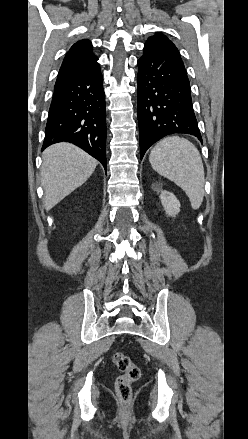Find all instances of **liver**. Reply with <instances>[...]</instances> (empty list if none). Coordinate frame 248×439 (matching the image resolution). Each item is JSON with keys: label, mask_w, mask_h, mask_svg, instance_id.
<instances>
[{"label": "liver", "mask_w": 248, "mask_h": 439, "mask_svg": "<svg viewBox=\"0 0 248 439\" xmlns=\"http://www.w3.org/2000/svg\"><path fill=\"white\" fill-rule=\"evenodd\" d=\"M42 159L41 184L46 211L84 184L97 166L96 159L70 143L51 145L43 152Z\"/></svg>", "instance_id": "obj_1"}]
</instances>
